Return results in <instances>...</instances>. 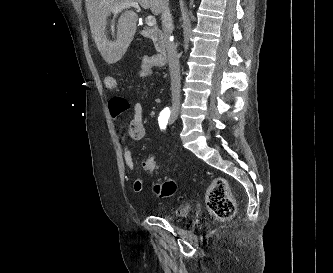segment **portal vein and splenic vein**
I'll use <instances>...</instances> for the list:
<instances>
[{
    "mask_svg": "<svg viewBox=\"0 0 333 273\" xmlns=\"http://www.w3.org/2000/svg\"><path fill=\"white\" fill-rule=\"evenodd\" d=\"M127 8H135L137 9L138 11H140V7H139V4L136 2V1H127L123 4H120L119 6L115 7L113 12L115 14L121 12L123 9H127ZM146 24L148 26H154L156 24V19L154 16H147L146 17Z\"/></svg>",
    "mask_w": 333,
    "mask_h": 273,
    "instance_id": "portal-vein-and-splenic-vein-1",
    "label": "portal vein and splenic vein"
}]
</instances>
